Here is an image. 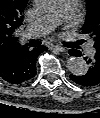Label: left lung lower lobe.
<instances>
[{"instance_id": "left-lung-lower-lobe-1", "label": "left lung lower lobe", "mask_w": 100, "mask_h": 118, "mask_svg": "<svg viewBox=\"0 0 100 118\" xmlns=\"http://www.w3.org/2000/svg\"><path fill=\"white\" fill-rule=\"evenodd\" d=\"M71 55L80 56L81 53L75 49L69 51ZM85 60L87 58L85 57ZM87 63L90 65L88 72L82 76L71 74L70 78L75 83L82 86H94L100 83V52H96L92 59H88Z\"/></svg>"}]
</instances>
